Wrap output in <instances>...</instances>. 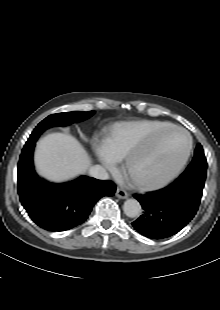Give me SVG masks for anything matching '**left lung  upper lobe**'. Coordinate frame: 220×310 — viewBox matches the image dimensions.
Masks as SVG:
<instances>
[{"label": "left lung upper lobe", "mask_w": 220, "mask_h": 310, "mask_svg": "<svg viewBox=\"0 0 220 310\" xmlns=\"http://www.w3.org/2000/svg\"><path fill=\"white\" fill-rule=\"evenodd\" d=\"M207 172V161L204 155L203 148L200 144L197 145L194 152V158L185 172L180 175V179H198L205 181Z\"/></svg>", "instance_id": "obj_1"}]
</instances>
